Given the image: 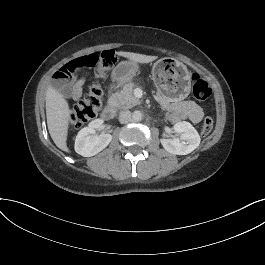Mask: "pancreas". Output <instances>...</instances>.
Masks as SVG:
<instances>
[{"instance_id": "1", "label": "pancreas", "mask_w": 265, "mask_h": 265, "mask_svg": "<svg viewBox=\"0 0 265 265\" xmlns=\"http://www.w3.org/2000/svg\"><path fill=\"white\" fill-rule=\"evenodd\" d=\"M136 87L137 84L134 82H130L124 85L121 92L115 93L113 95L114 106L119 109H130L140 104V100L133 95V91ZM157 99L159 101L161 110L163 112V120L167 121L168 118L166 116V113H167V107L170 104V100L166 96L160 93L157 94ZM174 122L175 121H172V123Z\"/></svg>"}]
</instances>
